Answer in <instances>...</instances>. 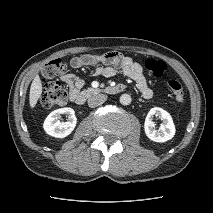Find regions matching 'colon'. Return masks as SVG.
Masks as SVG:
<instances>
[{"label": "colon", "instance_id": "obj_1", "mask_svg": "<svg viewBox=\"0 0 213 213\" xmlns=\"http://www.w3.org/2000/svg\"><path fill=\"white\" fill-rule=\"evenodd\" d=\"M166 64L161 60L148 59L145 62V69L155 80L163 78L166 71ZM66 70L64 59H54L45 64L43 68V92L40 97V105L44 108L61 107L67 103L68 95L61 83L54 79ZM167 86L170 89L175 101H184V91L181 83L175 79H169Z\"/></svg>", "mask_w": 213, "mask_h": 213}]
</instances>
